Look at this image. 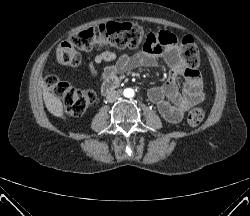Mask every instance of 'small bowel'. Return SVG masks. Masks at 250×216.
Masks as SVG:
<instances>
[{
  "label": "small bowel",
  "mask_w": 250,
  "mask_h": 216,
  "mask_svg": "<svg viewBox=\"0 0 250 216\" xmlns=\"http://www.w3.org/2000/svg\"><path fill=\"white\" fill-rule=\"evenodd\" d=\"M142 45L144 49L134 53H98L88 64L89 72L94 79L106 81L138 67H155L163 57L170 71L161 86L149 90L148 97L166 121L180 122L191 107L204 99L201 75L196 69L191 70L184 65L177 49L178 39L173 33L149 31L143 36ZM104 62L109 65L99 71L97 65ZM178 76L184 78L182 90L177 86Z\"/></svg>",
  "instance_id": "c3829d8e"
}]
</instances>
